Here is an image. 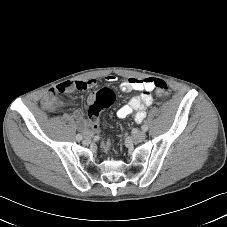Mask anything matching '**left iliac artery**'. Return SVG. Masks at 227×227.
Instances as JSON below:
<instances>
[{
	"instance_id": "1",
	"label": "left iliac artery",
	"mask_w": 227,
	"mask_h": 227,
	"mask_svg": "<svg viewBox=\"0 0 227 227\" xmlns=\"http://www.w3.org/2000/svg\"><path fill=\"white\" fill-rule=\"evenodd\" d=\"M142 130H143V131H147V130H148V125L144 124V125L142 126Z\"/></svg>"
}]
</instances>
